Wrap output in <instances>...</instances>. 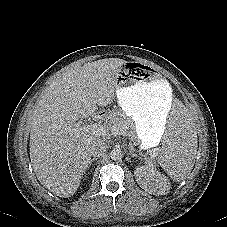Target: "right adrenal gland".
<instances>
[{"label":"right adrenal gland","mask_w":227,"mask_h":227,"mask_svg":"<svg viewBox=\"0 0 227 227\" xmlns=\"http://www.w3.org/2000/svg\"><path fill=\"white\" fill-rule=\"evenodd\" d=\"M97 159H98L97 157L92 158V159L90 160V162H89V166H91L92 162H93V161H96Z\"/></svg>","instance_id":"right-adrenal-gland-1"}]
</instances>
